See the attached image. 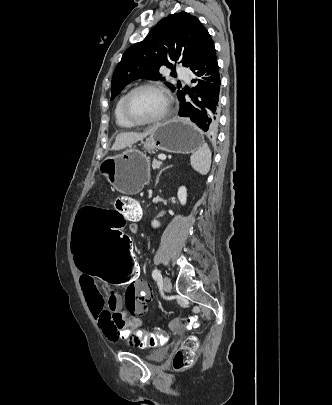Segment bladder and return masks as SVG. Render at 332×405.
I'll return each mask as SVG.
<instances>
[{
    "label": "bladder",
    "mask_w": 332,
    "mask_h": 405,
    "mask_svg": "<svg viewBox=\"0 0 332 405\" xmlns=\"http://www.w3.org/2000/svg\"><path fill=\"white\" fill-rule=\"evenodd\" d=\"M168 353V347L162 346L151 352L144 354V359L151 362H158L163 360Z\"/></svg>",
    "instance_id": "bladder-1"
}]
</instances>
